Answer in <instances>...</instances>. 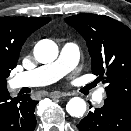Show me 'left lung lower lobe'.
I'll return each mask as SVG.
<instances>
[{
  "label": "left lung lower lobe",
  "mask_w": 131,
  "mask_h": 131,
  "mask_svg": "<svg viewBox=\"0 0 131 131\" xmlns=\"http://www.w3.org/2000/svg\"><path fill=\"white\" fill-rule=\"evenodd\" d=\"M78 131H131V109L105 100L76 126Z\"/></svg>",
  "instance_id": "obj_1"
}]
</instances>
